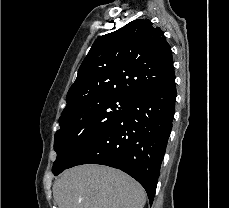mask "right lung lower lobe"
Segmentation results:
<instances>
[{"instance_id":"98d812e1","label":"right lung lower lobe","mask_w":229,"mask_h":208,"mask_svg":"<svg viewBox=\"0 0 229 208\" xmlns=\"http://www.w3.org/2000/svg\"><path fill=\"white\" fill-rule=\"evenodd\" d=\"M175 101L173 75L138 95L114 124L81 149L67 169L81 164L120 169L145 188L151 205L172 128Z\"/></svg>"}]
</instances>
